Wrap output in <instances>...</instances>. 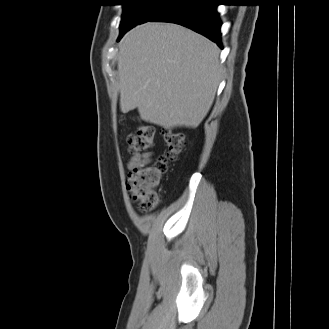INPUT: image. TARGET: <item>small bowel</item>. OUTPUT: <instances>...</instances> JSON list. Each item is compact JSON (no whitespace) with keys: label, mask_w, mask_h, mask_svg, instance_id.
Instances as JSON below:
<instances>
[{"label":"small bowel","mask_w":329,"mask_h":329,"mask_svg":"<svg viewBox=\"0 0 329 329\" xmlns=\"http://www.w3.org/2000/svg\"><path fill=\"white\" fill-rule=\"evenodd\" d=\"M149 161H150V154H148V153H146V154H135L131 158L128 166H129V168H134L139 164L148 163Z\"/></svg>","instance_id":"small-bowel-1"}]
</instances>
